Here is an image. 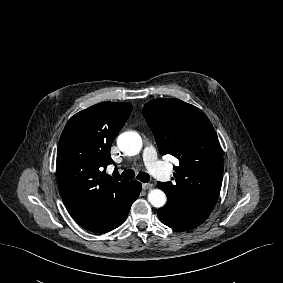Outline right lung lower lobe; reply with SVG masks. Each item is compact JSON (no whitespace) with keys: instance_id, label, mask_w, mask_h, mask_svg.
<instances>
[{"instance_id":"1","label":"right lung lower lobe","mask_w":283,"mask_h":283,"mask_svg":"<svg viewBox=\"0 0 283 283\" xmlns=\"http://www.w3.org/2000/svg\"><path fill=\"white\" fill-rule=\"evenodd\" d=\"M134 183V189L126 201V203L123 205V207L119 210V212L108 222L101 225L100 227H97L95 229H92L90 231L96 232V233H104L108 232L110 230H113L120 226L127 218V215L129 213L130 207L132 203L137 199V197L140 194L141 191V184L138 181H133Z\"/></svg>"}]
</instances>
